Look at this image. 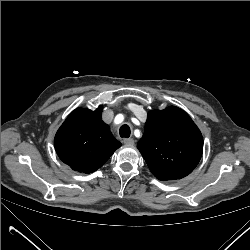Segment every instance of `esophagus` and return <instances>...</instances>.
Wrapping results in <instances>:
<instances>
[{
	"label": "esophagus",
	"instance_id": "esophagus-1",
	"mask_svg": "<svg viewBox=\"0 0 250 250\" xmlns=\"http://www.w3.org/2000/svg\"><path fill=\"white\" fill-rule=\"evenodd\" d=\"M124 144L127 146H133L134 145V140L132 138H126L123 140Z\"/></svg>",
	"mask_w": 250,
	"mask_h": 250
}]
</instances>
